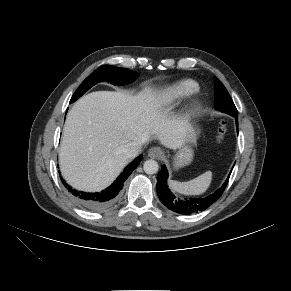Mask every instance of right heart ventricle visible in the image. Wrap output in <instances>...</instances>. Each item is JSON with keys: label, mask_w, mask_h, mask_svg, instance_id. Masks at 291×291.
Returning a JSON list of instances; mask_svg holds the SVG:
<instances>
[{"label": "right heart ventricle", "mask_w": 291, "mask_h": 291, "mask_svg": "<svg viewBox=\"0 0 291 291\" xmlns=\"http://www.w3.org/2000/svg\"><path fill=\"white\" fill-rule=\"evenodd\" d=\"M199 85L192 79L178 81L164 90L163 98L168 103L178 102L196 93Z\"/></svg>", "instance_id": "obj_1"}]
</instances>
